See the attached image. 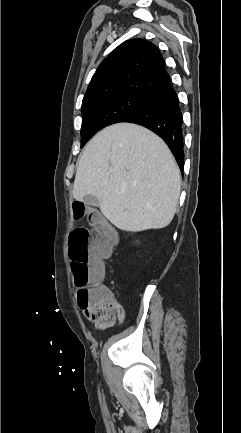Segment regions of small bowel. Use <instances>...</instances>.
Wrapping results in <instances>:
<instances>
[{
	"instance_id": "obj_1",
	"label": "small bowel",
	"mask_w": 241,
	"mask_h": 433,
	"mask_svg": "<svg viewBox=\"0 0 241 433\" xmlns=\"http://www.w3.org/2000/svg\"><path fill=\"white\" fill-rule=\"evenodd\" d=\"M103 288L108 296L84 310L86 318L101 331L112 327L116 322L122 323L125 319L122 305L116 301L112 291L106 285L103 284Z\"/></svg>"
}]
</instances>
